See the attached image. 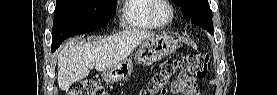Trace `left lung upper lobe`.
Listing matches in <instances>:
<instances>
[{"label": "left lung upper lobe", "mask_w": 277, "mask_h": 95, "mask_svg": "<svg viewBox=\"0 0 277 95\" xmlns=\"http://www.w3.org/2000/svg\"><path fill=\"white\" fill-rule=\"evenodd\" d=\"M182 8V13L187 19L207 30L213 32L212 11L208 0H173Z\"/></svg>", "instance_id": "1"}]
</instances>
